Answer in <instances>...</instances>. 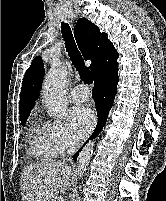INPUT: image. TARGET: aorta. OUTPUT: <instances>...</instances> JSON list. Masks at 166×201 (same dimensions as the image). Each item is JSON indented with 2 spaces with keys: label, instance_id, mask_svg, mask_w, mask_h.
I'll list each match as a JSON object with an SVG mask.
<instances>
[{
  "label": "aorta",
  "instance_id": "1",
  "mask_svg": "<svg viewBox=\"0 0 166 201\" xmlns=\"http://www.w3.org/2000/svg\"><path fill=\"white\" fill-rule=\"evenodd\" d=\"M67 70L62 63L53 64L44 80V102L48 114L54 118H64L68 103L66 97ZM94 144H89L78 157V175L82 177L93 155Z\"/></svg>",
  "mask_w": 166,
  "mask_h": 201
}]
</instances>
